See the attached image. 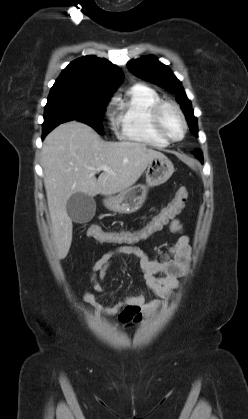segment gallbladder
<instances>
[{"label": "gallbladder", "instance_id": "bac80fb5", "mask_svg": "<svg viewBox=\"0 0 248 419\" xmlns=\"http://www.w3.org/2000/svg\"><path fill=\"white\" fill-rule=\"evenodd\" d=\"M66 210L73 222L87 223L95 215L96 202L93 197L77 192L69 198Z\"/></svg>", "mask_w": 248, "mask_h": 419}]
</instances>
